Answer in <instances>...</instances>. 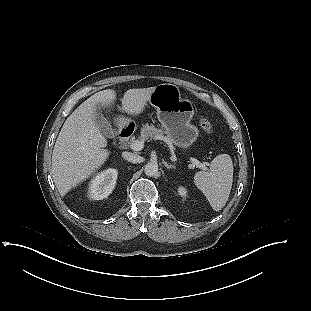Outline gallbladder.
<instances>
[{"label":"gallbladder","mask_w":311,"mask_h":311,"mask_svg":"<svg viewBox=\"0 0 311 311\" xmlns=\"http://www.w3.org/2000/svg\"><path fill=\"white\" fill-rule=\"evenodd\" d=\"M95 120L98 126L100 127L101 131L103 132V134L106 135L107 137L113 138L114 130L110 126L107 119L102 115L100 109H98L96 112Z\"/></svg>","instance_id":"1"}]
</instances>
